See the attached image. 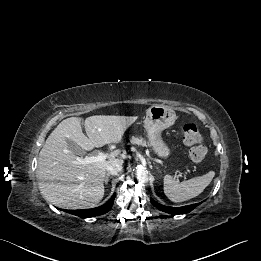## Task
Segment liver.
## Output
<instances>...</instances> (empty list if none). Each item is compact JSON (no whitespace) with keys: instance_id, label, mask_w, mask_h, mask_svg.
<instances>
[{"instance_id":"liver-1","label":"liver","mask_w":261,"mask_h":261,"mask_svg":"<svg viewBox=\"0 0 261 261\" xmlns=\"http://www.w3.org/2000/svg\"><path fill=\"white\" fill-rule=\"evenodd\" d=\"M136 116L95 115L85 119L87 136L82 132L81 119L63 120L48 136L39 153L37 177L42 196L55 206L69 209L93 207L104 196L107 166L120 151H114L104 161L76 164L67 143L73 141L81 150L90 151L109 143H120Z\"/></svg>"}]
</instances>
